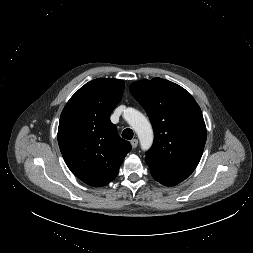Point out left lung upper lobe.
Instances as JSON below:
<instances>
[{
	"label": "left lung upper lobe",
	"mask_w": 253,
	"mask_h": 253,
	"mask_svg": "<svg viewBox=\"0 0 253 253\" xmlns=\"http://www.w3.org/2000/svg\"><path fill=\"white\" fill-rule=\"evenodd\" d=\"M130 92L154 129V143L145 157L148 166L187 178L198 165L206 143L199 105L184 88L161 78L134 82Z\"/></svg>",
	"instance_id": "5c2ea615"
}]
</instances>
